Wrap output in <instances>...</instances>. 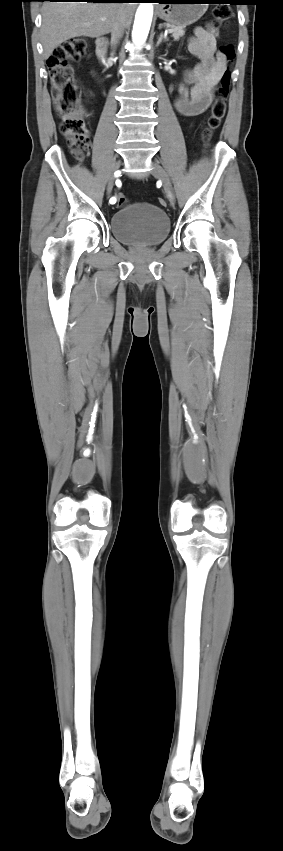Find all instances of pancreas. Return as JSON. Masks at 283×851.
Here are the masks:
<instances>
[{
  "label": "pancreas",
  "mask_w": 283,
  "mask_h": 851,
  "mask_svg": "<svg viewBox=\"0 0 283 851\" xmlns=\"http://www.w3.org/2000/svg\"><path fill=\"white\" fill-rule=\"evenodd\" d=\"M164 26H166L167 28L172 30V37L175 40H179L185 34V30H184L183 26H176V25H173V24H164Z\"/></svg>",
  "instance_id": "1"
}]
</instances>
